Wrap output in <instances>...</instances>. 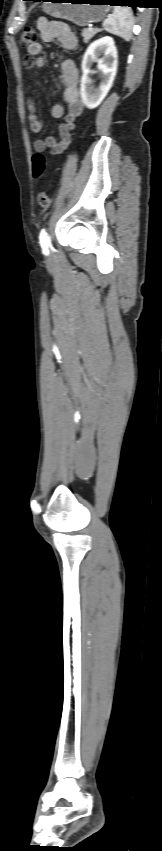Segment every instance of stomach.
<instances>
[{
    "instance_id": "1",
    "label": "stomach",
    "mask_w": 162,
    "mask_h": 851,
    "mask_svg": "<svg viewBox=\"0 0 162 851\" xmlns=\"http://www.w3.org/2000/svg\"><path fill=\"white\" fill-rule=\"evenodd\" d=\"M104 4L107 0H51L43 4V10L52 17L86 26L105 18L109 6Z\"/></svg>"
}]
</instances>
